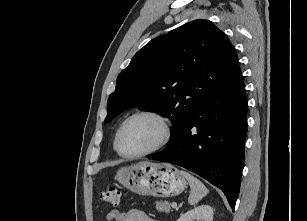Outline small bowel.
<instances>
[{"label":"small bowel","mask_w":307,"mask_h":221,"mask_svg":"<svg viewBox=\"0 0 307 221\" xmlns=\"http://www.w3.org/2000/svg\"><path fill=\"white\" fill-rule=\"evenodd\" d=\"M106 219L107 221H159L138 209H131L126 212L112 210Z\"/></svg>","instance_id":"1"}]
</instances>
